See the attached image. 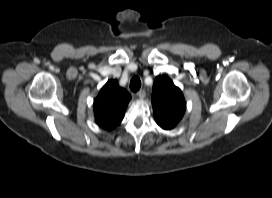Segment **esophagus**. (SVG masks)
I'll list each match as a JSON object with an SVG mask.
<instances>
[{
  "mask_svg": "<svg viewBox=\"0 0 272 198\" xmlns=\"http://www.w3.org/2000/svg\"><path fill=\"white\" fill-rule=\"evenodd\" d=\"M145 95H146L145 90H140V91L137 92V96L140 99H143L145 97Z\"/></svg>",
  "mask_w": 272,
  "mask_h": 198,
  "instance_id": "34e87169",
  "label": "esophagus"
}]
</instances>
